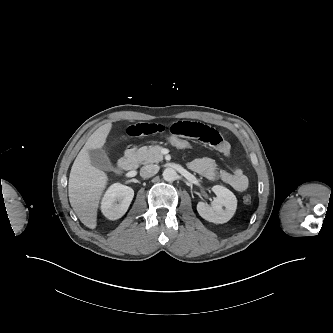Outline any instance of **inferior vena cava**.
I'll list each match as a JSON object with an SVG mask.
<instances>
[{
    "label": "inferior vena cava",
    "instance_id": "1",
    "mask_svg": "<svg viewBox=\"0 0 333 333\" xmlns=\"http://www.w3.org/2000/svg\"><path fill=\"white\" fill-rule=\"evenodd\" d=\"M159 171V167L157 165H146L140 169V175L144 178H149L155 175Z\"/></svg>",
    "mask_w": 333,
    "mask_h": 333
}]
</instances>
